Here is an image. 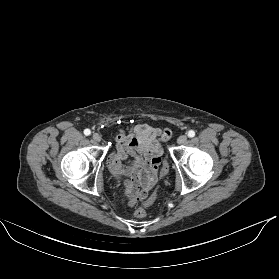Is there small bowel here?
I'll use <instances>...</instances> for the list:
<instances>
[{"label": "small bowel", "mask_w": 279, "mask_h": 279, "mask_svg": "<svg viewBox=\"0 0 279 279\" xmlns=\"http://www.w3.org/2000/svg\"><path fill=\"white\" fill-rule=\"evenodd\" d=\"M171 132L149 123H137L115 135V151L108 165L116 177H125V196L129 206L147 197L156 181L161 163V141ZM128 160L126 165L122 162Z\"/></svg>", "instance_id": "obj_1"}]
</instances>
